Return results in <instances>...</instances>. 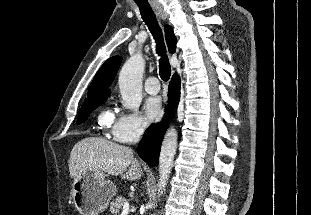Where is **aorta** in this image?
Instances as JSON below:
<instances>
[{
    "instance_id": "obj_1",
    "label": "aorta",
    "mask_w": 311,
    "mask_h": 215,
    "mask_svg": "<svg viewBox=\"0 0 311 215\" xmlns=\"http://www.w3.org/2000/svg\"><path fill=\"white\" fill-rule=\"evenodd\" d=\"M145 68V60L141 54L130 57L123 65L119 74V89L124 106L137 111L142 102V76ZM178 143L177 131L170 128L162 142L159 158L158 197L165 191L167 181L172 169Z\"/></svg>"
}]
</instances>
